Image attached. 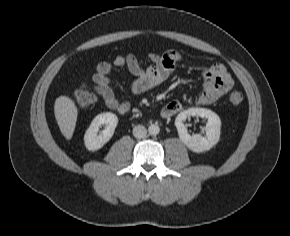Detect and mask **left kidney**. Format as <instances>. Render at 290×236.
<instances>
[{"label":"left kidney","instance_id":"obj_1","mask_svg":"<svg viewBox=\"0 0 290 236\" xmlns=\"http://www.w3.org/2000/svg\"><path fill=\"white\" fill-rule=\"evenodd\" d=\"M202 117L207 119L205 136L200 134L190 135L184 124L188 117ZM175 126L181 141L193 152L200 153L210 150L220 138L221 120L213 111L205 108H189L179 113L175 120Z\"/></svg>","mask_w":290,"mask_h":236}]
</instances>
